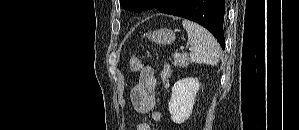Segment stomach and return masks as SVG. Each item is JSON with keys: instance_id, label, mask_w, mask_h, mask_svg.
I'll use <instances>...</instances> for the list:
<instances>
[{"instance_id": "1", "label": "stomach", "mask_w": 299, "mask_h": 130, "mask_svg": "<svg viewBox=\"0 0 299 130\" xmlns=\"http://www.w3.org/2000/svg\"><path fill=\"white\" fill-rule=\"evenodd\" d=\"M147 37L150 41L157 44L169 45L174 42L176 35L171 29L162 28L148 33Z\"/></svg>"}]
</instances>
